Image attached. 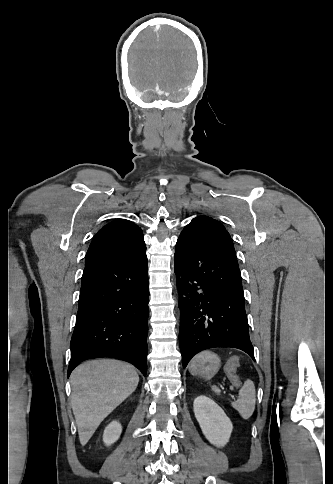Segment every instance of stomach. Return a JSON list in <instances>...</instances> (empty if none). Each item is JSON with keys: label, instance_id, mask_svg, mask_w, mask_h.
Here are the masks:
<instances>
[{"label": "stomach", "instance_id": "stomach-1", "mask_svg": "<svg viewBox=\"0 0 333 484\" xmlns=\"http://www.w3.org/2000/svg\"><path fill=\"white\" fill-rule=\"evenodd\" d=\"M219 357L211 351L198 354L190 363L189 371L192 375L211 379L220 369Z\"/></svg>", "mask_w": 333, "mask_h": 484}]
</instances>
